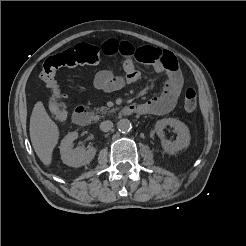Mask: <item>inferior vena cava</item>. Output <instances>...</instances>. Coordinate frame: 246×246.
Returning a JSON list of instances; mask_svg holds the SVG:
<instances>
[{
    "label": "inferior vena cava",
    "mask_w": 246,
    "mask_h": 246,
    "mask_svg": "<svg viewBox=\"0 0 246 246\" xmlns=\"http://www.w3.org/2000/svg\"><path fill=\"white\" fill-rule=\"evenodd\" d=\"M113 128V123L109 120L107 121H103L101 122L100 124V129L103 131V132H108L110 131L111 129Z\"/></svg>",
    "instance_id": "1"
}]
</instances>
